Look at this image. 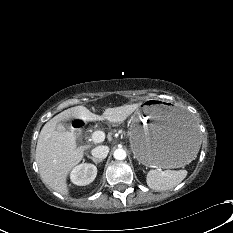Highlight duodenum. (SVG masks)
<instances>
[{
  "mask_svg": "<svg viewBox=\"0 0 233 233\" xmlns=\"http://www.w3.org/2000/svg\"><path fill=\"white\" fill-rule=\"evenodd\" d=\"M72 119L70 125L72 131L78 134L84 132L89 119L87 112L81 109L77 110L74 112Z\"/></svg>",
  "mask_w": 233,
  "mask_h": 233,
  "instance_id": "410a0bca",
  "label": "duodenum"
}]
</instances>
